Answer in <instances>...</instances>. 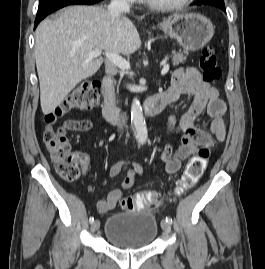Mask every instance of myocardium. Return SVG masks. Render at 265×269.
<instances>
[{
    "label": "myocardium",
    "instance_id": "obj_1",
    "mask_svg": "<svg viewBox=\"0 0 265 269\" xmlns=\"http://www.w3.org/2000/svg\"><path fill=\"white\" fill-rule=\"evenodd\" d=\"M146 5L158 10H178L188 6L193 0H180L177 2L161 3L155 0H142Z\"/></svg>",
    "mask_w": 265,
    "mask_h": 269
}]
</instances>
